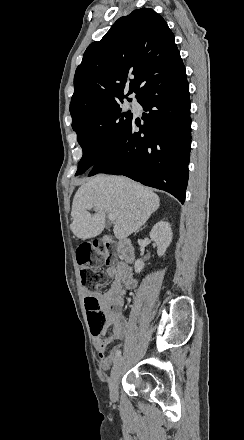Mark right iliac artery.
Instances as JSON below:
<instances>
[{
    "label": "right iliac artery",
    "instance_id": "obj_1",
    "mask_svg": "<svg viewBox=\"0 0 244 440\" xmlns=\"http://www.w3.org/2000/svg\"><path fill=\"white\" fill-rule=\"evenodd\" d=\"M120 356H121V351L118 350V351L115 353V358H118V357H120Z\"/></svg>",
    "mask_w": 244,
    "mask_h": 440
}]
</instances>
